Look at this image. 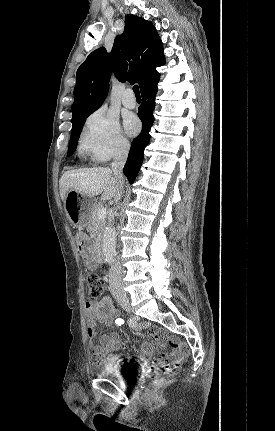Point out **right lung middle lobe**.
Instances as JSON below:
<instances>
[{
    "mask_svg": "<svg viewBox=\"0 0 275 431\" xmlns=\"http://www.w3.org/2000/svg\"><path fill=\"white\" fill-rule=\"evenodd\" d=\"M86 119L72 125V133H71V137H70V143H69V148H68V154L67 156H70L74 153V151L76 150V146L78 143V139L82 130V127L84 125Z\"/></svg>",
    "mask_w": 275,
    "mask_h": 431,
    "instance_id": "1",
    "label": "right lung middle lobe"
}]
</instances>
